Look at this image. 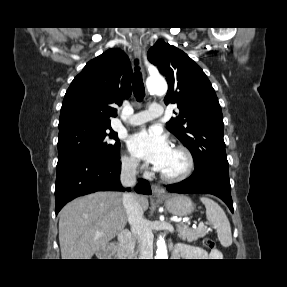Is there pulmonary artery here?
<instances>
[{"instance_id": "1", "label": "pulmonary artery", "mask_w": 287, "mask_h": 287, "mask_svg": "<svg viewBox=\"0 0 287 287\" xmlns=\"http://www.w3.org/2000/svg\"><path fill=\"white\" fill-rule=\"evenodd\" d=\"M163 112V109L158 104H152L149 106L148 110L139 112L133 115L129 119V124L132 126L141 125L148 121H151L157 117H159Z\"/></svg>"}]
</instances>
